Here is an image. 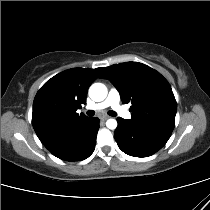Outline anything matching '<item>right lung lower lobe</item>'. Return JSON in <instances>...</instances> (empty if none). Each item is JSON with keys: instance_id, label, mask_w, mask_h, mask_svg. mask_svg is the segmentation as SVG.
Listing matches in <instances>:
<instances>
[{"instance_id": "obj_1", "label": "right lung lower lobe", "mask_w": 210, "mask_h": 210, "mask_svg": "<svg viewBox=\"0 0 210 210\" xmlns=\"http://www.w3.org/2000/svg\"><path fill=\"white\" fill-rule=\"evenodd\" d=\"M98 129L99 119L88 117L68 127L44 146L62 160H83L95 149Z\"/></svg>"}]
</instances>
